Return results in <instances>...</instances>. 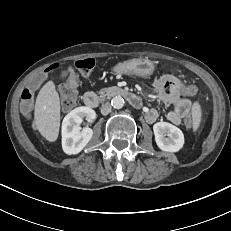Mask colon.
Returning <instances> with one entry per match:
<instances>
[{"mask_svg": "<svg viewBox=\"0 0 231 231\" xmlns=\"http://www.w3.org/2000/svg\"><path fill=\"white\" fill-rule=\"evenodd\" d=\"M56 66L51 67V69L55 68ZM75 69L81 75H88L95 67V60L93 58H84L77 60L74 63ZM50 69V70H51ZM50 75L49 70L44 69L38 76V78L32 83L28 84L27 89L23 91L21 97V104L24 109H29L32 105L33 98H34V91L37 88L43 86ZM177 91L180 94H185L188 98H194L197 95V90L194 85H187L185 83H180L177 86ZM60 97H61V104L62 107L66 110L73 108L77 102L78 98V84L75 81H70L63 84L60 87ZM186 125H192V119L186 120Z\"/></svg>", "mask_w": 231, "mask_h": 231, "instance_id": "5ec220e1", "label": "colon"}]
</instances>
